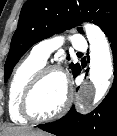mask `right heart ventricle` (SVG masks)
I'll list each match as a JSON object with an SVG mask.
<instances>
[{"mask_svg": "<svg viewBox=\"0 0 117 136\" xmlns=\"http://www.w3.org/2000/svg\"><path fill=\"white\" fill-rule=\"evenodd\" d=\"M45 66V62L40 61L32 54L24 59L15 69L8 87V113L15 123H26L27 119L19 111L21 96L27 83L33 75Z\"/></svg>", "mask_w": 117, "mask_h": 136, "instance_id": "right-heart-ventricle-1", "label": "right heart ventricle"}]
</instances>
